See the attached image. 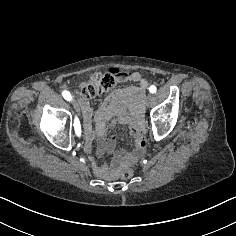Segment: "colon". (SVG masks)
I'll use <instances>...</instances> for the list:
<instances>
[{"label": "colon", "mask_w": 236, "mask_h": 236, "mask_svg": "<svg viewBox=\"0 0 236 236\" xmlns=\"http://www.w3.org/2000/svg\"><path fill=\"white\" fill-rule=\"evenodd\" d=\"M117 72L111 70L110 72L101 74H93L90 80L84 84L80 91L81 98H93L100 93L109 92L115 86V77ZM134 175V170L131 168H124L119 173V177L123 180H128Z\"/></svg>", "instance_id": "1"}]
</instances>
